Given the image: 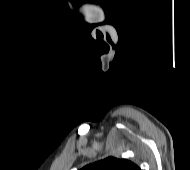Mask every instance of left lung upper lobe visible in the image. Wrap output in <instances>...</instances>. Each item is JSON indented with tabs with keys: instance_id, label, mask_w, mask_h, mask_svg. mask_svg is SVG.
Wrapping results in <instances>:
<instances>
[{
	"instance_id": "left-lung-upper-lobe-1",
	"label": "left lung upper lobe",
	"mask_w": 190,
	"mask_h": 170,
	"mask_svg": "<svg viewBox=\"0 0 190 170\" xmlns=\"http://www.w3.org/2000/svg\"><path fill=\"white\" fill-rule=\"evenodd\" d=\"M80 170H141V169L136 164H134L129 160L116 158V157H108L106 159L86 165Z\"/></svg>"
}]
</instances>
